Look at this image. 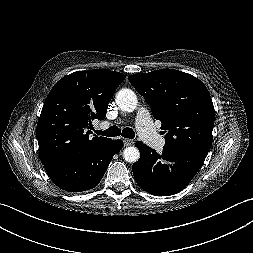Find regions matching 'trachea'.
<instances>
[{"instance_id":"obj_1","label":"trachea","mask_w":253,"mask_h":253,"mask_svg":"<svg viewBox=\"0 0 253 253\" xmlns=\"http://www.w3.org/2000/svg\"><path fill=\"white\" fill-rule=\"evenodd\" d=\"M94 131L98 135L107 136V137H115L121 134V130L117 126H112L104 131H101V130H94ZM122 136L128 139H133L135 137V132L133 131V129L127 127L123 129Z\"/></svg>"}]
</instances>
